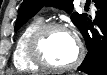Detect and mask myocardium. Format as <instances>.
<instances>
[{
	"label": "myocardium",
	"mask_w": 107,
	"mask_h": 75,
	"mask_svg": "<svg viewBox=\"0 0 107 75\" xmlns=\"http://www.w3.org/2000/svg\"><path fill=\"white\" fill-rule=\"evenodd\" d=\"M53 30H61L69 33L68 29L60 23L49 22L42 24L31 34L28 40L27 50L30 59L39 67L47 70L65 71L75 68L80 63L83 56L82 45L76 39V56L70 63L65 65H56L46 57L43 49V43L47 34Z\"/></svg>",
	"instance_id": "myocardium-1"
}]
</instances>
